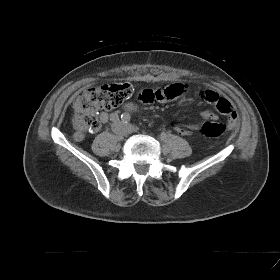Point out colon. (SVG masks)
Returning <instances> with one entry per match:
<instances>
[{
	"label": "colon",
	"mask_w": 280,
	"mask_h": 280,
	"mask_svg": "<svg viewBox=\"0 0 280 280\" xmlns=\"http://www.w3.org/2000/svg\"><path fill=\"white\" fill-rule=\"evenodd\" d=\"M133 85L129 82L104 84L85 89L78 99L82 112L79 121L88 130H97L100 126L98 112L110 110L121 105L133 93ZM227 125L218 122H205L200 125V131L207 137L221 136Z\"/></svg>",
	"instance_id": "colon-1"
}]
</instances>
